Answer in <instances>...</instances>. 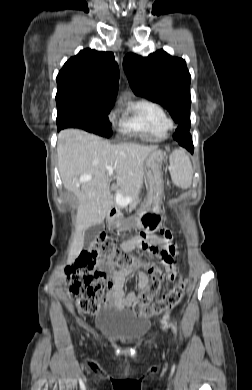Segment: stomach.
<instances>
[{
    "mask_svg": "<svg viewBox=\"0 0 252 390\" xmlns=\"http://www.w3.org/2000/svg\"><path fill=\"white\" fill-rule=\"evenodd\" d=\"M162 161L163 155L155 151L144 162V173L149 184V195L144 205H142L138 213L132 218V224L140 229L153 230L162 221ZM113 226L120 229L122 224L120 221H116L113 222Z\"/></svg>",
    "mask_w": 252,
    "mask_h": 390,
    "instance_id": "0dacf381",
    "label": "stomach"
}]
</instances>
